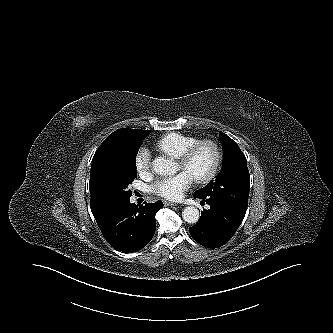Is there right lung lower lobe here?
<instances>
[{
    "label": "right lung lower lobe",
    "instance_id": "right-lung-lower-lobe-1",
    "mask_svg": "<svg viewBox=\"0 0 333 333\" xmlns=\"http://www.w3.org/2000/svg\"><path fill=\"white\" fill-rule=\"evenodd\" d=\"M129 199L113 203L96 219L107 242L123 253L139 251L149 243L155 233L156 212L163 207L161 201L140 206Z\"/></svg>",
    "mask_w": 333,
    "mask_h": 333
}]
</instances>
